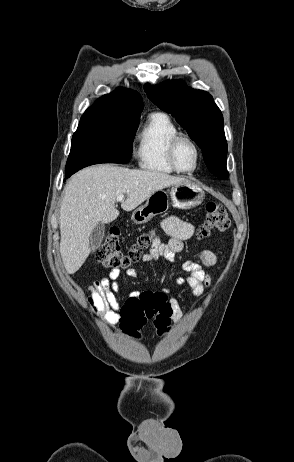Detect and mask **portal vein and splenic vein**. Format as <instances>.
<instances>
[{"mask_svg": "<svg viewBox=\"0 0 294 462\" xmlns=\"http://www.w3.org/2000/svg\"><path fill=\"white\" fill-rule=\"evenodd\" d=\"M123 199H124V195H119V196H117V198H116V200L119 201V202H120V201H123Z\"/></svg>", "mask_w": 294, "mask_h": 462, "instance_id": "1", "label": "portal vein and splenic vein"}]
</instances>
